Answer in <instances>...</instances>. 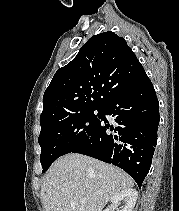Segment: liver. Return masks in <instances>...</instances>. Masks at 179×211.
<instances>
[{
	"instance_id": "6515ba94",
	"label": "liver",
	"mask_w": 179,
	"mask_h": 211,
	"mask_svg": "<svg viewBox=\"0 0 179 211\" xmlns=\"http://www.w3.org/2000/svg\"><path fill=\"white\" fill-rule=\"evenodd\" d=\"M134 180L121 169L82 154L70 153L49 168L41 187L45 211H102ZM86 198V204L80 203Z\"/></svg>"
}]
</instances>
